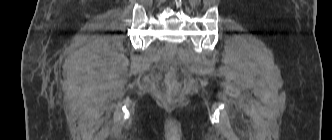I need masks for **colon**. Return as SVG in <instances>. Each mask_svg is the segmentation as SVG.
Here are the masks:
<instances>
[{"instance_id": "5ec220e1", "label": "colon", "mask_w": 332, "mask_h": 140, "mask_svg": "<svg viewBox=\"0 0 332 140\" xmlns=\"http://www.w3.org/2000/svg\"><path fill=\"white\" fill-rule=\"evenodd\" d=\"M167 102L169 103V104H174L175 103V99L174 98H169L168 100H167Z\"/></svg>"}]
</instances>
